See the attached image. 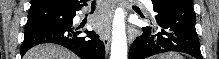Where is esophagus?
Masks as SVG:
<instances>
[{"mask_svg": "<svg viewBox=\"0 0 219 59\" xmlns=\"http://www.w3.org/2000/svg\"><path fill=\"white\" fill-rule=\"evenodd\" d=\"M118 0H108L107 3L110 8L107 11V16L103 26L98 30L100 39L103 41L106 52L109 51L111 40V21L113 15V7L117 4Z\"/></svg>", "mask_w": 219, "mask_h": 59, "instance_id": "esophagus-1", "label": "esophagus"}]
</instances>
